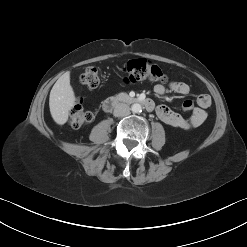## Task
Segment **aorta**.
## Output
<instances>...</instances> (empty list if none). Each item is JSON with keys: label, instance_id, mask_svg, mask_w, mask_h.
<instances>
[{"label": "aorta", "instance_id": "aorta-1", "mask_svg": "<svg viewBox=\"0 0 247 247\" xmlns=\"http://www.w3.org/2000/svg\"><path fill=\"white\" fill-rule=\"evenodd\" d=\"M131 110L133 113H140L142 111V107L139 103H134L132 106H131Z\"/></svg>", "mask_w": 247, "mask_h": 247}]
</instances>
